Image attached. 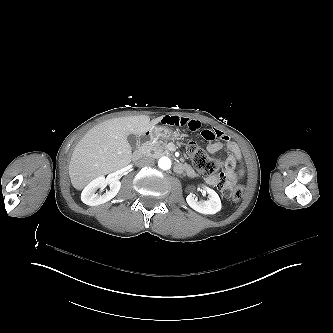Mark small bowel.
<instances>
[{
	"label": "small bowel",
	"mask_w": 333,
	"mask_h": 333,
	"mask_svg": "<svg viewBox=\"0 0 333 333\" xmlns=\"http://www.w3.org/2000/svg\"><path fill=\"white\" fill-rule=\"evenodd\" d=\"M162 123L171 127L186 128L190 131H200L203 138L208 141L217 140L209 143L206 147V150L213 154L222 148H226L230 154L224 162V174H233L236 172L238 178L243 177L244 166L240 148L235 142L231 141L223 131L217 128H211L209 124H202L199 119L189 116H168L162 120ZM183 167L185 169H191V167L187 164H183ZM221 174H212L207 176L206 183L211 186H216L220 180Z\"/></svg>",
	"instance_id": "obj_1"
}]
</instances>
